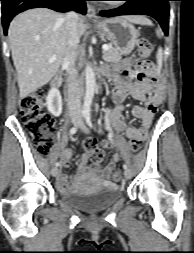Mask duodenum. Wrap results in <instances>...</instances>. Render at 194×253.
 I'll use <instances>...</instances> for the list:
<instances>
[{
    "label": "duodenum",
    "mask_w": 194,
    "mask_h": 253,
    "mask_svg": "<svg viewBox=\"0 0 194 253\" xmlns=\"http://www.w3.org/2000/svg\"><path fill=\"white\" fill-rule=\"evenodd\" d=\"M60 81H61V78L60 77H57L55 78L52 83H51V88L54 90V91H58L59 89V85H60Z\"/></svg>",
    "instance_id": "obj_1"
}]
</instances>
